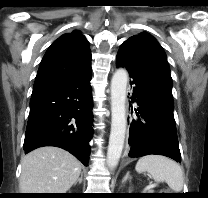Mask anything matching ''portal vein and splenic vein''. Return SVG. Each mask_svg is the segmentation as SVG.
Returning a JSON list of instances; mask_svg holds the SVG:
<instances>
[{
	"label": "portal vein and splenic vein",
	"mask_w": 208,
	"mask_h": 198,
	"mask_svg": "<svg viewBox=\"0 0 208 198\" xmlns=\"http://www.w3.org/2000/svg\"><path fill=\"white\" fill-rule=\"evenodd\" d=\"M151 187H152V185H149V186L146 187V189H149V188H151Z\"/></svg>",
	"instance_id": "obj_1"
}]
</instances>
